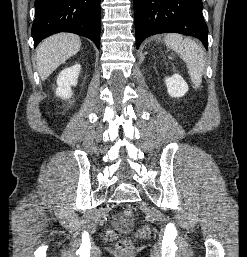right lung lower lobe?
I'll return each mask as SVG.
<instances>
[{
  "label": "right lung lower lobe",
  "instance_id": "right-lung-lower-lobe-1",
  "mask_svg": "<svg viewBox=\"0 0 247 257\" xmlns=\"http://www.w3.org/2000/svg\"><path fill=\"white\" fill-rule=\"evenodd\" d=\"M100 27V0L35 1L34 46L52 34L71 32L91 39L100 48Z\"/></svg>",
  "mask_w": 247,
  "mask_h": 257
}]
</instances>
